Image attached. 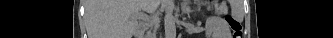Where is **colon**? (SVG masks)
<instances>
[{
    "label": "colon",
    "instance_id": "colon-1",
    "mask_svg": "<svg viewBox=\"0 0 333 38\" xmlns=\"http://www.w3.org/2000/svg\"><path fill=\"white\" fill-rule=\"evenodd\" d=\"M226 21L233 31V38H242L243 31L240 21L232 16H227Z\"/></svg>",
    "mask_w": 333,
    "mask_h": 38
}]
</instances>
